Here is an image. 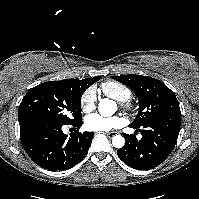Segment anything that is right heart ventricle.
<instances>
[{
	"label": "right heart ventricle",
	"instance_id": "e07e8e85",
	"mask_svg": "<svg viewBox=\"0 0 199 199\" xmlns=\"http://www.w3.org/2000/svg\"><path fill=\"white\" fill-rule=\"evenodd\" d=\"M101 88L106 96L120 102L127 101L132 95V90L128 86L115 81L106 82Z\"/></svg>",
	"mask_w": 199,
	"mask_h": 199
}]
</instances>
